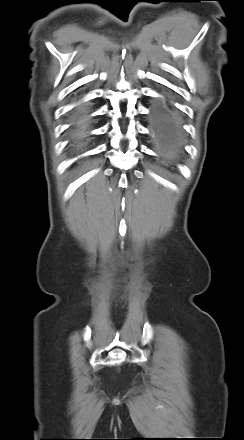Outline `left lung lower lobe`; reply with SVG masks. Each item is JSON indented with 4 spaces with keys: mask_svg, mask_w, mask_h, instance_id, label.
Segmentation results:
<instances>
[{
    "mask_svg": "<svg viewBox=\"0 0 244 440\" xmlns=\"http://www.w3.org/2000/svg\"><path fill=\"white\" fill-rule=\"evenodd\" d=\"M150 132L163 151L177 150L183 145V121L178 109L165 99H158L150 113Z\"/></svg>",
    "mask_w": 244,
    "mask_h": 440,
    "instance_id": "obj_1",
    "label": "left lung lower lobe"
}]
</instances>
